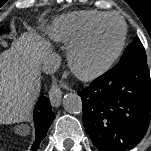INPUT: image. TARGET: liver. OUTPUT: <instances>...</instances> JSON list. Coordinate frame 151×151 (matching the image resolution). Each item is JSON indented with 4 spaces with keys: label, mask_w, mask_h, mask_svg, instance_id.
I'll use <instances>...</instances> for the list:
<instances>
[{
    "label": "liver",
    "mask_w": 151,
    "mask_h": 151,
    "mask_svg": "<svg viewBox=\"0 0 151 151\" xmlns=\"http://www.w3.org/2000/svg\"><path fill=\"white\" fill-rule=\"evenodd\" d=\"M50 43L25 32L0 54V123L26 119L40 91L42 58Z\"/></svg>",
    "instance_id": "obj_1"
}]
</instances>
